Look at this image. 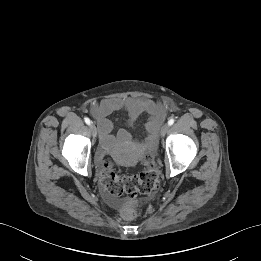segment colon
<instances>
[{"instance_id": "obj_1", "label": "colon", "mask_w": 261, "mask_h": 261, "mask_svg": "<svg viewBox=\"0 0 261 261\" xmlns=\"http://www.w3.org/2000/svg\"><path fill=\"white\" fill-rule=\"evenodd\" d=\"M144 170L137 175L118 176L110 160H105L101 169V184L105 190L115 196L147 194L153 192L158 183L156 163L151 154L145 155L143 159ZM124 220H132L136 217L137 211L134 202L127 200L120 211Z\"/></svg>"}]
</instances>
